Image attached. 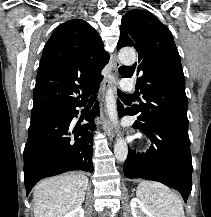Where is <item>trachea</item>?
<instances>
[{"label":"trachea","mask_w":211,"mask_h":217,"mask_svg":"<svg viewBox=\"0 0 211 217\" xmlns=\"http://www.w3.org/2000/svg\"><path fill=\"white\" fill-rule=\"evenodd\" d=\"M117 93H118V96H119L120 98H132V97H133L132 95H127V94L121 92L120 90H118ZM95 99H96V95H93V96L90 98V101L93 102V101H95Z\"/></svg>","instance_id":"3493384b"}]
</instances>
